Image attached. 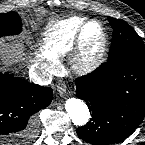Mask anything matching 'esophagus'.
I'll list each match as a JSON object with an SVG mask.
<instances>
[{
  "label": "esophagus",
  "instance_id": "34e87169",
  "mask_svg": "<svg viewBox=\"0 0 145 145\" xmlns=\"http://www.w3.org/2000/svg\"><path fill=\"white\" fill-rule=\"evenodd\" d=\"M57 90H58V93H59L61 96H65L66 93H67L66 85H65V84H59V85L57 86Z\"/></svg>",
  "mask_w": 145,
  "mask_h": 145
}]
</instances>
